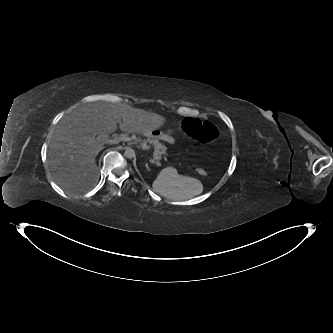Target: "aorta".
Wrapping results in <instances>:
<instances>
[{
    "instance_id": "762f6f07",
    "label": "aorta",
    "mask_w": 333,
    "mask_h": 333,
    "mask_svg": "<svg viewBox=\"0 0 333 333\" xmlns=\"http://www.w3.org/2000/svg\"><path fill=\"white\" fill-rule=\"evenodd\" d=\"M124 155H125V157L131 159V158L135 157V151H134V149L127 147L124 152Z\"/></svg>"
}]
</instances>
